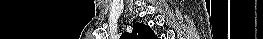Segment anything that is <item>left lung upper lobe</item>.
Listing matches in <instances>:
<instances>
[{"mask_svg": "<svg viewBox=\"0 0 263 39\" xmlns=\"http://www.w3.org/2000/svg\"><path fill=\"white\" fill-rule=\"evenodd\" d=\"M122 39H157L149 26L142 23L134 24L132 33L125 32L121 36Z\"/></svg>", "mask_w": 263, "mask_h": 39, "instance_id": "1", "label": "left lung upper lobe"}]
</instances>
